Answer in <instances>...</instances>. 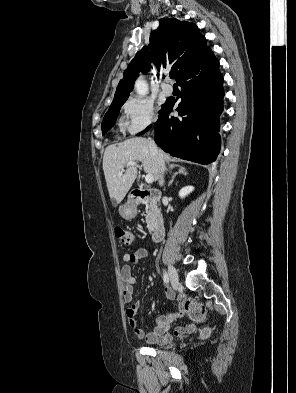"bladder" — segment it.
Masks as SVG:
<instances>
[{
	"mask_svg": "<svg viewBox=\"0 0 296 393\" xmlns=\"http://www.w3.org/2000/svg\"><path fill=\"white\" fill-rule=\"evenodd\" d=\"M170 345H171V344L169 343V344L163 346V348H168Z\"/></svg>",
	"mask_w": 296,
	"mask_h": 393,
	"instance_id": "31cf9c89",
	"label": "bladder"
}]
</instances>
